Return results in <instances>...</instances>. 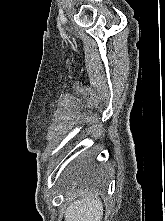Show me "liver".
I'll return each mask as SVG.
<instances>
[{"mask_svg":"<svg viewBox=\"0 0 165 221\" xmlns=\"http://www.w3.org/2000/svg\"><path fill=\"white\" fill-rule=\"evenodd\" d=\"M103 204L97 197L84 196L71 201L65 211V221H101Z\"/></svg>","mask_w":165,"mask_h":221,"instance_id":"obj_1","label":"liver"}]
</instances>
